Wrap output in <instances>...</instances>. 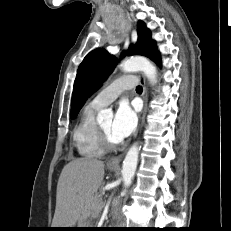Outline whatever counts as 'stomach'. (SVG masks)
Returning <instances> with one entry per match:
<instances>
[{
    "label": "stomach",
    "instance_id": "obj_1",
    "mask_svg": "<svg viewBox=\"0 0 231 231\" xmlns=\"http://www.w3.org/2000/svg\"><path fill=\"white\" fill-rule=\"evenodd\" d=\"M111 171H115V168H109ZM86 225H83V227H79V228H90V227H85Z\"/></svg>",
    "mask_w": 231,
    "mask_h": 231
}]
</instances>
